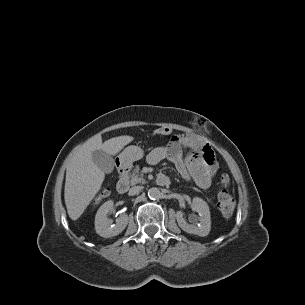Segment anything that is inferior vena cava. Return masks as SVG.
Segmentation results:
<instances>
[{"label":"inferior vena cava","instance_id":"inferior-vena-cava-1","mask_svg":"<svg viewBox=\"0 0 305 305\" xmlns=\"http://www.w3.org/2000/svg\"><path fill=\"white\" fill-rule=\"evenodd\" d=\"M141 190H142V186H134L130 188L128 194L130 196L137 195L141 192Z\"/></svg>","mask_w":305,"mask_h":305}]
</instances>
